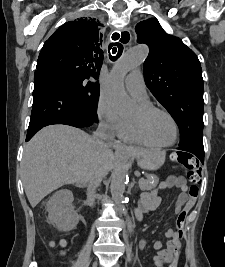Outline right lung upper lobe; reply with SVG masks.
Masks as SVG:
<instances>
[{
  "label": "right lung upper lobe",
  "instance_id": "1",
  "mask_svg": "<svg viewBox=\"0 0 225 267\" xmlns=\"http://www.w3.org/2000/svg\"><path fill=\"white\" fill-rule=\"evenodd\" d=\"M100 26L94 19H78L59 27L43 45L36 69L97 78L103 62Z\"/></svg>",
  "mask_w": 225,
  "mask_h": 267
}]
</instances>
